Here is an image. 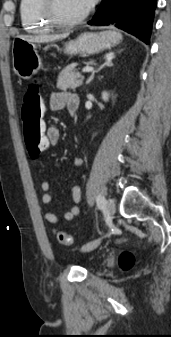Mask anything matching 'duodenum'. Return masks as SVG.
Segmentation results:
<instances>
[{
	"instance_id": "duodenum-1",
	"label": "duodenum",
	"mask_w": 171,
	"mask_h": 337,
	"mask_svg": "<svg viewBox=\"0 0 171 337\" xmlns=\"http://www.w3.org/2000/svg\"><path fill=\"white\" fill-rule=\"evenodd\" d=\"M70 115L75 116L78 111V104H71L68 108Z\"/></svg>"
}]
</instances>
